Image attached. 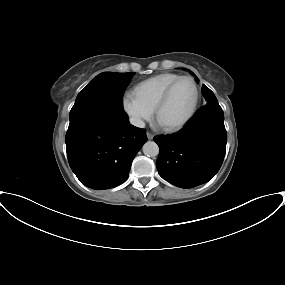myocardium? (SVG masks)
Masks as SVG:
<instances>
[{"label":"myocardium","mask_w":285,"mask_h":285,"mask_svg":"<svg viewBox=\"0 0 285 285\" xmlns=\"http://www.w3.org/2000/svg\"><path fill=\"white\" fill-rule=\"evenodd\" d=\"M183 79L190 80L194 86V89H195L194 103H193V106H192L190 112L188 113V115L183 120H181L180 122L173 124V125L162 126L163 129L167 132H175V131L182 129L185 125H187L192 120V118L195 116V114L198 110V107H199L200 88H199L198 83L196 82V80L192 76L181 75L178 78H176L175 80H173L167 86V88L164 90L163 94L161 95L160 99L158 100V102L155 106V109H154L155 119L158 121L159 113L162 110V108L166 105V103L168 102L173 89Z\"/></svg>","instance_id":"1"}]
</instances>
